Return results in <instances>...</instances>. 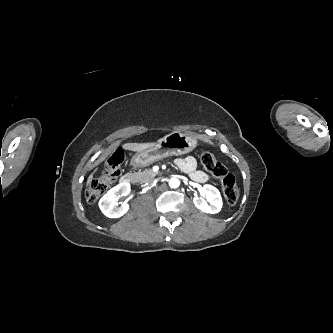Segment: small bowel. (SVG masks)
<instances>
[{
  "instance_id": "obj_1",
  "label": "small bowel",
  "mask_w": 333,
  "mask_h": 333,
  "mask_svg": "<svg viewBox=\"0 0 333 333\" xmlns=\"http://www.w3.org/2000/svg\"><path fill=\"white\" fill-rule=\"evenodd\" d=\"M176 165L184 172H187L191 178L197 182H206L209 180V176L201 171L197 170V163L194 157L187 156L185 158H179L176 161Z\"/></svg>"
}]
</instances>
